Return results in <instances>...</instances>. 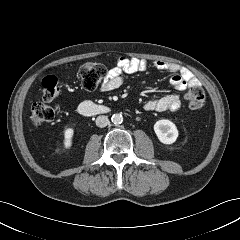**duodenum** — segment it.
<instances>
[{
  "mask_svg": "<svg viewBox=\"0 0 240 240\" xmlns=\"http://www.w3.org/2000/svg\"><path fill=\"white\" fill-rule=\"evenodd\" d=\"M107 108L101 105L96 104L93 101L87 100L82 102L79 107L78 111L82 115H93L98 113L107 112Z\"/></svg>",
  "mask_w": 240,
  "mask_h": 240,
  "instance_id": "duodenum-1",
  "label": "duodenum"
}]
</instances>
